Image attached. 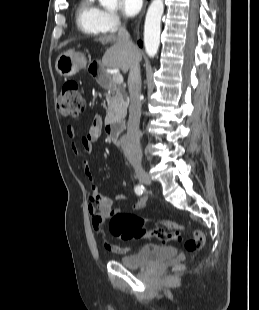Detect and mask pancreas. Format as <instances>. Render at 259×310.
Masks as SVG:
<instances>
[{"label":"pancreas","mask_w":259,"mask_h":310,"mask_svg":"<svg viewBox=\"0 0 259 310\" xmlns=\"http://www.w3.org/2000/svg\"><path fill=\"white\" fill-rule=\"evenodd\" d=\"M108 100V110L105 122L113 124L123 122L127 114L128 101L124 98L120 88L112 84L111 91L106 94Z\"/></svg>","instance_id":"obj_1"}]
</instances>
